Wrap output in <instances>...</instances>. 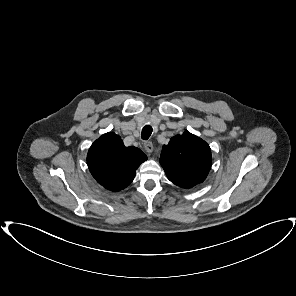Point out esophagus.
I'll list each match as a JSON object with an SVG mask.
<instances>
[{
    "label": "esophagus",
    "mask_w": 296,
    "mask_h": 296,
    "mask_svg": "<svg viewBox=\"0 0 296 296\" xmlns=\"http://www.w3.org/2000/svg\"><path fill=\"white\" fill-rule=\"evenodd\" d=\"M143 146H144V149H145V151L147 153H151L153 151V144H152V142L146 141V142H144Z\"/></svg>",
    "instance_id": "obj_1"
}]
</instances>
